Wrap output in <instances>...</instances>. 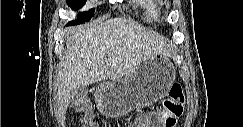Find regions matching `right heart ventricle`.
Instances as JSON below:
<instances>
[{"mask_svg":"<svg viewBox=\"0 0 243 127\" xmlns=\"http://www.w3.org/2000/svg\"><path fill=\"white\" fill-rule=\"evenodd\" d=\"M134 10L143 22L155 24L159 21L163 6L157 0H140L136 1Z\"/></svg>","mask_w":243,"mask_h":127,"instance_id":"e07e8e85","label":"right heart ventricle"}]
</instances>
